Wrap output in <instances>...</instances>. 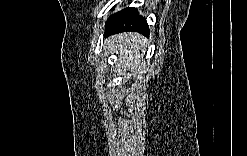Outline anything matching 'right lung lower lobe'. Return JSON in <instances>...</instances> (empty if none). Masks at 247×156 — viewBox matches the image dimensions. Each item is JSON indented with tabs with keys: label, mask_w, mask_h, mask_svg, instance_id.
<instances>
[{
	"label": "right lung lower lobe",
	"mask_w": 247,
	"mask_h": 156,
	"mask_svg": "<svg viewBox=\"0 0 247 156\" xmlns=\"http://www.w3.org/2000/svg\"><path fill=\"white\" fill-rule=\"evenodd\" d=\"M105 36L123 31H136L149 36V28L146 19L140 16L136 8L127 7L112 15L105 25Z\"/></svg>",
	"instance_id": "98d812e1"
}]
</instances>
